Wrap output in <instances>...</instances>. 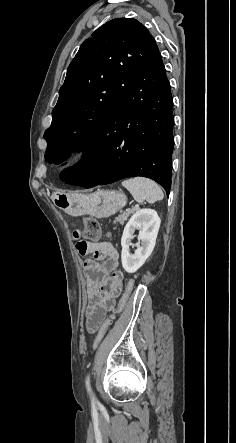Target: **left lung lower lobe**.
<instances>
[{
  "mask_svg": "<svg viewBox=\"0 0 236 443\" xmlns=\"http://www.w3.org/2000/svg\"><path fill=\"white\" fill-rule=\"evenodd\" d=\"M173 98L156 47L117 106L85 146L79 165L60 178L85 188L143 176L171 187Z\"/></svg>",
  "mask_w": 236,
  "mask_h": 443,
  "instance_id": "0a47b994",
  "label": "left lung lower lobe"
}]
</instances>
